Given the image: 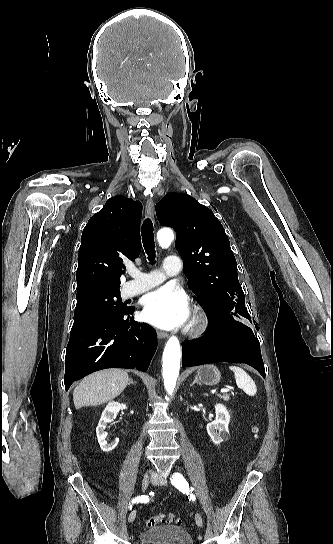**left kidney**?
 Instances as JSON below:
<instances>
[{
  "label": "left kidney",
  "mask_w": 333,
  "mask_h": 544,
  "mask_svg": "<svg viewBox=\"0 0 333 544\" xmlns=\"http://www.w3.org/2000/svg\"><path fill=\"white\" fill-rule=\"evenodd\" d=\"M216 418L211 423L207 424L206 430L210 438L215 444H220L230 438L229 422L230 414L226 407L222 404L215 405Z\"/></svg>",
  "instance_id": "5707ae66"
}]
</instances>
